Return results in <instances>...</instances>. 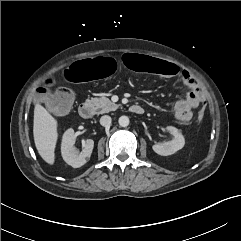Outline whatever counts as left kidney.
Here are the masks:
<instances>
[{
  "label": "left kidney",
  "instance_id": "1",
  "mask_svg": "<svg viewBox=\"0 0 241 241\" xmlns=\"http://www.w3.org/2000/svg\"><path fill=\"white\" fill-rule=\"evenodd\" d=\"M166 129L173 135L174 138L171 141L158 143L152 146L154 152L162 156L172 155L182 149L185 145L184 136L177 128L167 126Z\"/></svg>",
  "mask_w": 241,
  "mask_h": 241
}]
</instances>
